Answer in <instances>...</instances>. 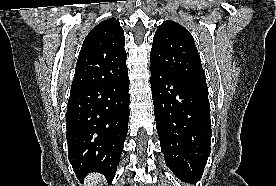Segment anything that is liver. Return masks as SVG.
Wrapping results in <instances>:
<instances>
[{
    "instance_id": "liver-1",
    "label": "liver",
    "mask_w": 276,
    "mask_h": 186,
    "mask_svg": "<svg viewBox=\"0 0 276 186\" xmlns=\"http://www.w3.org/2000/svg\"><path fill=\"white\" fill-rule=\"evenodd\" d=\"M102 179V176L99 174H91L86 178L88 183L87 186H96L97 183Z\"/></svg>"
}]
</instances>
